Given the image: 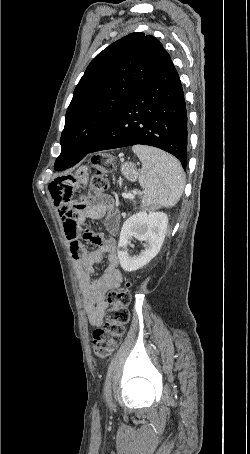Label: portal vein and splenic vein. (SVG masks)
Segmentation results:
<instances>
[{"instance_id": "1", "label": "portal vein and splenic vein", "mask_w": 250, "mask_h": 454, "mask_svg": "<svg viewBox=\"0 0 250 454\" xmlns=\"http://www.w3.org/2000/svg\"><path fill=\"white\" fill-rule=\"evenodd\" d=\"M123 197H124V198H127V199H130V200H133V199H134V195H133V194H126V193H124V194H123Z\"/></svg>"}]
</instances>
